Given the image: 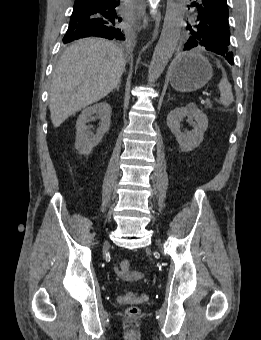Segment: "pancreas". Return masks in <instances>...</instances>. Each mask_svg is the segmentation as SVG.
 I'll return each mask as SVG.
<instances>
[{
	"instance_id": "1",
	"label": "pancreas",
	"mask_w": 261,
	"mask_h": 340,
	"mask_svg": "<svg viewBox=\"0 0 261 340\" xmlns=\"http://www.w3.org/2000/svg\"><path fill=\"white\" fill-rule=\"evenodd\" d=\"M204 104L206 105L207 108H212V103L209 99L205 100Z\"/></svg>"
}]
</instances>
